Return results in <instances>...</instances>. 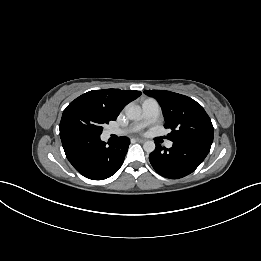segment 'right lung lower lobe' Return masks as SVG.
I'll return each instance as SVG.
<instances>
[{"instance_id": "1", "label": "right lung lower lobe", "mask_w": 261, "mask_h": 261, "mask_svg": "<svg viewBox=\"0 0 261 261\" xmlns=\"http://www.w3.org/2000/svg\"><path fill=\"white\" fill-rule=\"evenodd\" d=\"M60 137L69 162L92 180H103L115 174L130 144L127 137H120L107 145L100 136L87 132H62Z\"/></svg>"}]
</instances>
